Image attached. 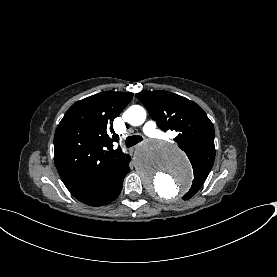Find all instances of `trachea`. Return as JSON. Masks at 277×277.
Returning a JSON list of instances; mask_svg holds the SVG:
<instances>
[{
	"mask_svg": "<svg viewBox=\"0 0 277 277\" xmlns=\"http://www.w3.org/2000/svg\"><path fill=\"white\" fill-rule=\"evenodd\" d=\"M143 141V137L142 136H138V135H133V136H128L125 140V144L127 148H130L134 145H136L137 143Z\"/></svg>",
	"mask_w": 277,
	"mask_h": 277,
	"instance_id": "3493384b",
	"label": "trachea"
}]
</instances>
